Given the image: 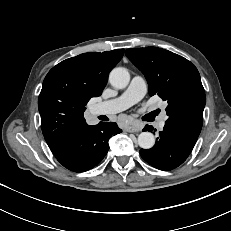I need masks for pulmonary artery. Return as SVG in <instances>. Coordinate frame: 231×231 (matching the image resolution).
I'll return each instance as SVG.
<instances>
[{
  "label": "pulmonary artery",
  "instance_id": "pulmonary-artery-1",
  "mask_svg": "<svg viewBox=\"0 0 231 231\" xmlns=\"http://www.w3.org/2000/svg\"><path fill=\"white\" fill-rule=\"evenodd\" d=\"M147 87L145 80L141 76H134L128 88L117 98L104 101L94 105L91 108L93 115H110L126 110L146 94ZM168 116L163 113L158 122V128L162 129L165 125Z\"/></svg>",
  "mask_w": 231,
  "mask_h": 231
}]
</instances>
